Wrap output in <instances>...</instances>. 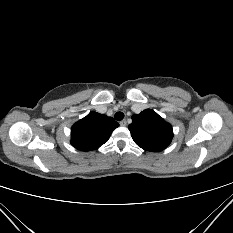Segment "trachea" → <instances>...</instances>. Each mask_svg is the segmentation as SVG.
Returning a JSON list of instances; mask_svg holds the SVG:
<instances>
[{
    "mask_svg": "<svg viewBox=\"0 0 233 233\" xmlns=\"http://www.w3.org/2000/svg\"><path fill=\"white\" fill-rule=\"evenodd\" d=\"M114 118L117 121H121L124 118V113L123 112H116L115 115H114Z\"/></svg>",
    "mask_w": 233,
    "mask_h": 233,
    "instance_id": "1",
    "label": "trachea"
}]
</instances>
